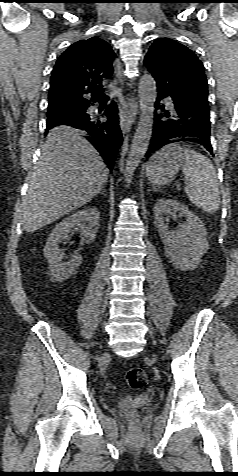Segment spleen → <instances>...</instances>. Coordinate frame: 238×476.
<instances>
[{"label":"spleen","mask_w":238,"mask_h":476,"mask_svg":"<svg viewBox=\"0 0 238 476\" xmlns=\"http://www.w3.org/2000/svg\"><path fill=\"white\" fill-rule=\"evenodd\" d=\"M182 153L185 193L195 206L209 214L215 213L219 208L220 193L212 162L195 150L184 149Z\"/></svg>","instance_id":"3e777b00"}]
</instances>
